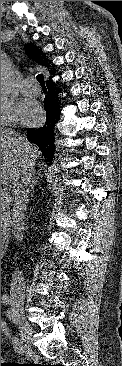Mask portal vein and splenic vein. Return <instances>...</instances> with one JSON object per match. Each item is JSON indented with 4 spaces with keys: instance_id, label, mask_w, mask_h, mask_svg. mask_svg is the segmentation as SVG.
<instances>
[{
    "instance_id": "obj_1",
    "label": "portal vein and splenic vein",
    "mask_w": 122,
    "mask_h": 366,
    "mask_svg": "<svg viewBox=\"0 0 122 366\" xmlns=\"http://www.w3.org/2000/svg\"><path fill=\"white\" fill-rule=\"evenodd\" d=\"M1 197H3L7 201H9L11 199L8 192L7 191H2V190H1Z\"/></svg>"
}]
</instances>
